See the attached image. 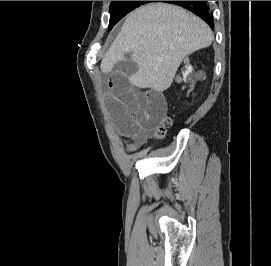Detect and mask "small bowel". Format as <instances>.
Listing matches in <instances>:
<instances>
[{
	"instance_id": "c3829d8e",
	"label": "small bowel",
	"mask_w": 271,
	"mask_h": 266,
	"mask_svg": "<svg viewBox=\"0 0 271 266\" xmlns=\"http://www.w3.org/2000/svg\"><path fill=\"white\" fill-rule=\"evenodd\" d=\"M109 78L105 105L118 129L131 140L130 149L147 140L150 131L166 113L163 94L139 89L133 84L135 65L128 61L105 66Z\"/></svg>"
}]
</instances>
